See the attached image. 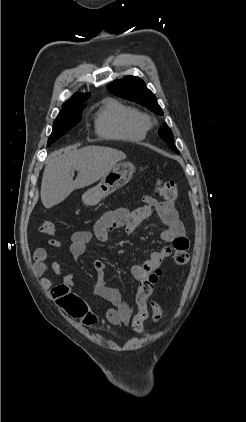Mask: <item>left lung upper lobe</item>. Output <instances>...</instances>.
<instances>
[{
    "mask_svg": "<svg viewBox=\"0 0 246 422\" xmlns=\"http://www.w3.org/2000/svg\"><path fill=\"white\" fill-rule=\"evenodd\" d=\"M109 92L124 99L136 102L145 106L158 115H163L155 95L146 87L145 83L138 77L127 76L124 79L116 80L107 86ZM159 136L168 146L179 153L173 142V133L167 124L163 125L158 132Z\"/></svg>",
    "mask_w": 246,
    "mask_h": 422,
    "instance_id": "left-lung-upper-lobe-1",
    "label": "left lung upper lobe"
}]
</instances>
